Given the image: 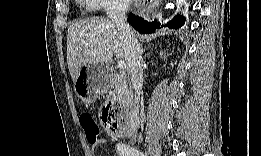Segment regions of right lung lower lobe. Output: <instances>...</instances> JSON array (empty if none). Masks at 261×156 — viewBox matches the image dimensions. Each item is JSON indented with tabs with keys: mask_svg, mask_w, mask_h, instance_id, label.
I'll list each match as a JSON object with an SVG mask.
<instances>
[{
	"mask_svg": "<svg viewBox=\"0 0 261 156\" xmlns=\"http://www.w3.org/2000/svg\"><path fill=\"white\" fill-rule=\"evenodd\" d=\"M128 21L136 30H138L141 33L149 34L154 32L156 28L160 27V23H158L157 21H153V22L144 21L143 18L136 16L134 14L128 17ZM183 23H184V19L177 16L173 18L171 21H169L167 23V26L169 28L178 29L183 25Z\"/></svg>",
	"mask_w": 261,
	"mask_h": 156,
	"instance_id": "98d812e1",
	"label": "right lung lower lobe"
}]
</instances>
